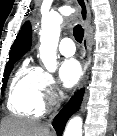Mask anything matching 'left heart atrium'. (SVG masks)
Segmentation results:
<instances>
[{
  "mask_svg": "<svg viewBox=\"0 0 117 136\" xmlns=\"http://www.w3.org/2000/svg\"><path fill=\"white\" fill-rule=\"evenodd\" d=\"M58 75L63 86L72 87L81 78L82 75L81 65L74 58L65 59L60 64Z\"/></svg>",
  "mask_w": 117,
  "mask_h": 136,
  "instance_id": "39dd6f15",
  "label": "left heart atrium"
}]
</instances>
